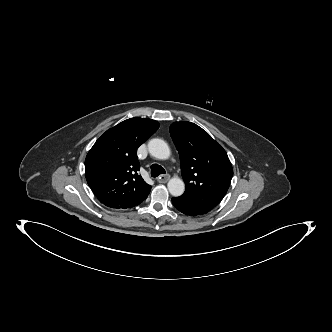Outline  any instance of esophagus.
<instances>
[{
  "instance_id": "esophagus-1",
  "label": "esophagus",
  "mask_w": 332,
  "mask_h": 332,
  "mask_svg": "<svg viewBox=\"0 0 332 332\" xmlns=\"http://www.w3.org/2000/svg\"><path fill=\"white\" fill-rule=\"evenodd\" d=\"M170 176L168 174H165V175H160L158 177V182L159 183H165L169 180Z\"/></svg>"
}]
</instances>
